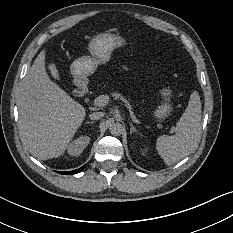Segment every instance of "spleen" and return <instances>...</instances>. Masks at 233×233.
<instances>
[{
    "instance_id": "3e777b00",
    "label": "spleen",
    "mask_w": 233,
    "mask_h": 233,
    "mask_svg": "<svg viewBox=\"0 0 233 233\" xmlns=\"http://www.w3.org/2000/svg\"><path fill=\"white\" fill-rule=\"evenodd\" d=\"M201 100L199 93L190 94L188 105L175 127L174 135H161L156 147L167 165L177 163L189 154L199 141L201 134Z\"/></svg>"
}]
</instances>
